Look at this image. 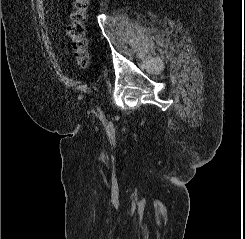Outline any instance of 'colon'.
I'll list each match as a JSON object with an SVG mask.
<instances>
[{
  "label": "colon",
  "instance_id": "obj_1",
  "mask_svg": "<svg viewBox=\"0 0 245 239\" xmlns=\"http://www.w3.org/2000/svg\"><path fill=\"white\" fill-rule=\"evenodd\" d=\"M90 0H74V11L67 26V35L71 40L73 57L81 69H86L90 63L88 41L85 35L86 14Z\"/></svg>",
  "mask_w": 245,
  "mask_h": 239
}]
</instances>
